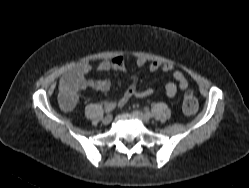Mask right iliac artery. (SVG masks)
<instances>
[{
	"mask_svg": "<svg viewBox=\"0 0 249 188\" xmlns=\"http://www.w3.org/2000/svg\"><path fill=\"white\" fill-rule=\"evenodd\" d=\"M116 107V103L115 102H110L105 106V112L106 113H110L111 111H113Z\"/></svg>",
	"mask_w": 249,
	"mask_h": 188,
	"instance_id": "1",
	"label": "right iliac artery"
}]
</instances>
